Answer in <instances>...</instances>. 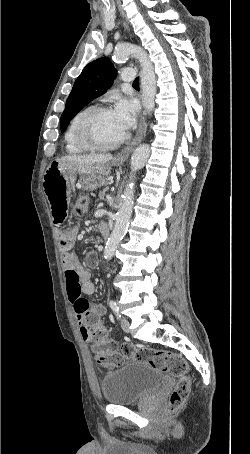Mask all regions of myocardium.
I'll return each instance as SVG.
<instances>
[{
    "label": "myocardium",
    "instance_id": "f54148a6",
    "mask_svg": "<svg viewBox=\"0 0 250 454\" xmlns=\"http://www.w3.org/2000/svg\"><path fill=\"white\" fill-rule=\"evenodd\" d=\"M111 111V108L108 106L100 105L93 108H90L86 111L82 117L79 119L76 131H75V138L79 145L86 148L87 150H95V151H107L112 150L119 147L128 139V134L126 133L120 139L108 143V144H100L92 140L88 135V127L90 122L99 114Z\"/></svg>",
    "mask_w": 250,
    "mask_h": 454
}]
</instances>
